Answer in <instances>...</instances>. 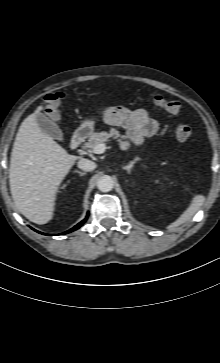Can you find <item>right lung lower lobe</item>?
Listing matches in <instances>:
<instances>
[{
    "label": "right lung lower lobe",
    "instance_id": "98d812e1",
    "mask_svg": "<svg viewBox=\"0 0 220 363\" xmlns=\"http://www.w3.org/2000/svg\"><path fill=\"white\" fill-rule=\"evenodd\" d=\"M87 220V218H85L83 221H81L80 223H78L76 226H74L72 229H70V230H68L67 232H64V233H62V234H67V233H70V232H72V231H75V230H77L78 228H80L83 224H84V222ZM40 233V232H39ZM43 234V233H42Z\"/></svg>",
    "mask_w": 220,
    "mask_h": 363
}]
</instances>
